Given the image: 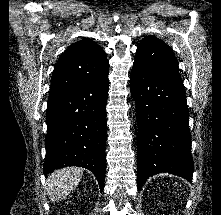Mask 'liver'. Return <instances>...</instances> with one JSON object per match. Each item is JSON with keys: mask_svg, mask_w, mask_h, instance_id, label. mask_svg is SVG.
I'll list each match as a JSON object with an SVG mask.
<instances>
[{"mask_svg": "<svg viewBox=\"0 0 221 215\" xmlns=\"http://www.w3.org/2000/svg\"><path fill=\"white\" fill-rule=\"evenodd\" d=\"M84 170L79 167H68L54 171L47 179V193L51 201L67 197L82 179Z\"/></svg>", "mask_w": 221, "mask_h": 215, "instance_id": "liver-1", "label": "liver"}]
</instances>
